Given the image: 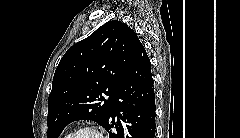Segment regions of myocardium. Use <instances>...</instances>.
Listing matches in <instances>:
<instances>
[{
	"label": "myocardium",
	"mask_w": 240,
	"mask_h": 138,
	"mask_svg": "<svg viewBox=\"0 0 240 138\" xmlns=\"http://www.w3.org/2000/svg\"><path fill=\"white\" fill-rule=\"evenodd\" d=\"M83 132H91L96 135L97 138H104L103 133L93 125H86L76 129L69 138H77Z\"/></svg>",
	"instance_id": "1"
}]
</instances>
